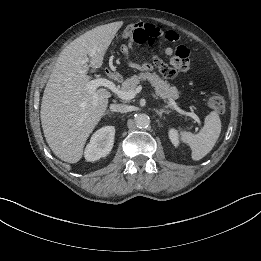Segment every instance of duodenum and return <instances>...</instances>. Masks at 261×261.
I'll return each mask as SVG.
<instances>
[{
    "instance_id": "1",
    "label": "duodenum",
    "mask_w": 261,
    "mask_h": 261,
    "mask_svg": "<svg viewBox=\"0 0 261 261\" xmlns=\"http://www.w3.org/2000/svg\"><path fill=\"white\" fill-rule=\"evenodd\" d=\"M107 76L110 78V79H113V80H117L119 77L116 73H113L111 71H108L107 72Z\"/></svg>"
}]
</instances>
